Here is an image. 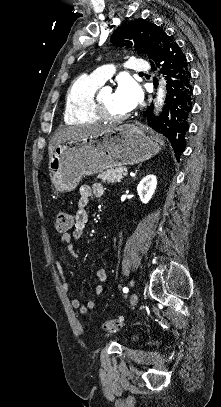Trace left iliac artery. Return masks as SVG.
I'll return each instance as SVG.
<instances>
[{
	"instance_id": "obj_1",
	"label": "left iliac artery",
	"mask_w": 221,
	"mask_h": 407,
	"mask_svg": "<svg viewBox=\"0 0 221 407\" xmlns=\"http://www.w3.org/2000/svg\"><path fill=\"white\" fill-rule=\"evenodd\" d=\"M128 291H129V289H128L127 287H124V288H123V292H124V293H128Z\"/></svg>"
}]
</instances>
